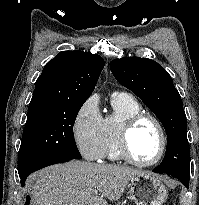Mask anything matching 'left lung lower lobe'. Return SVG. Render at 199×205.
<instances>
[{"instance_id":"left-lung-lower-lobe-1","label":"left lung lower lobe","mask_w":199,"mask_h":205,"mask_svg":"<svg viewBox=\"0 0 199 205\" xmlns=\"http://www.w3.org/2000/svg\"><path fill=\"white\" fill-rule=\"evenodd\" d=\"M154 171V170H153ZM155 172V171H154ZM155 173H157V172H155ZM175 178H177V177H175ZM182 183H183V185L188 189L189 188V180H187V179H184V178H178Z\"/></svg>"}]
</instances>
